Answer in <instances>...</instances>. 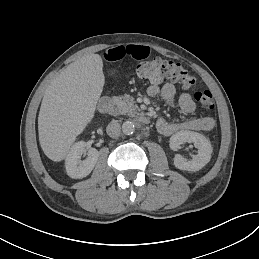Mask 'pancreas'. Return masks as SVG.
I'll list each match as a JSON object with an SVG mask.
<instances>
[{
	"mask_svg": "<svg viewBox=\"0 0 259 259\" xmlns=\"http://www.w3.org/2000/svg\"><path fill=\"white\" fill-rule=\"evenodd\" d=\"M115 103L118 105L121 114H128L131 117L137 114V106L134 105L133 97L129 95L115 97Z\"/></svg>",
	"mask_w": 259,
	"mask_h": 259,
	"instance_id": "pancreas-1",
	"label": "pancreas"
}]
</instances>
